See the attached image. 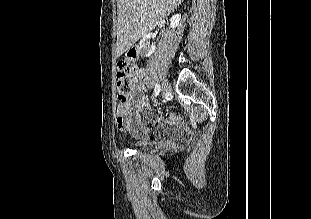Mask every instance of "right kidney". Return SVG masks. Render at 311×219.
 Here are the masks:
<instances>
[{
	"label": "right kidney",
	"instance_id": "obj_1",
	"mask_svg": "<svg viewBox=\"0 0 311 219\" xmlns=\"http://www.w3.org/2000/svg\"><path fill=\"white\" fill-rule=\"evenodd\" d=\"M180 20H181V15H179V14L174 15L171 18L170 27L172 29L176 28L178 26ZM153 36L154 35L152 33H149V34L145 35L140 41L139 48L145 57L151 56L155 50V46L151 45V43H150L151 38H153Z\"/></svg>",
	"mask_w": 311,
	"mask_h": 219
}]
</instances>
